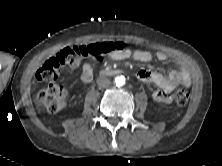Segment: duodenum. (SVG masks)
<instances>
[{
    "mask_svg": "<svg viewBox=\"0 0 222 166\" xmlns=\"http://www.w3.org/2000/svg\"><path fill=\"white\" fill-rule=\"evenodd\" d=\"M120 71L115 69H104L100 72V75H115L118 74Z\"/></svg>",
    "mask_w": 222,
    "mask_h": 166,
    "instance_id": "obj_1",
    "label": "duodenum"
}]
</instances>
